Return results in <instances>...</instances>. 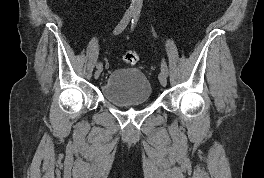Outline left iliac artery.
Wrapping results in <instances>:
<instances>
[{"instance_id": "44dca946", "label": "left iliac artery", "mask_w": 264, "mask_h": 178, "mask_svg": "<svg viewBox=\"0 0 264 178\" xmlns=\"http://www.w3.org/2000/svg\"><path fill=\"white\" fill-rule=\"evenodd\" d=\"M139 14L140 12L139 11H136L134 13V18L132 19V26H131V29H134L138 19H139ZM161 71L164 72L166 75H168V67H167V64L166 62L163 60L162 63H161Z\"/></svg>"}]
</instances>
